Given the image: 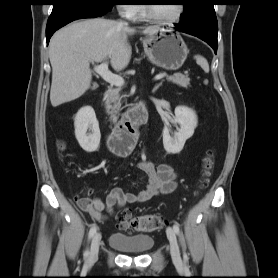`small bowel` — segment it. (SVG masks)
<instances>
[{"instance_id":"obj_1","label":"small bowel","mask_w":278,"mask_h":278,"mask_svg":"<svg viewBox=\"0 0 278 278\" xmlns=\"http://www.w3.org/2000/svg\"><path fill=\"white\" fill-rule=\"evenodd\" d=\"M138 167L148 177L147 186L138 192H125L119 187L113 188L105 201L101 198H80L77 200L79 208L97 221L103 220L107 214L115 209L124 207L127 203H142L151 198L173 192L177 187V175L173 167L163 163L154 166L151 162L142 160Z\"/></svg>"}]
</instances>
